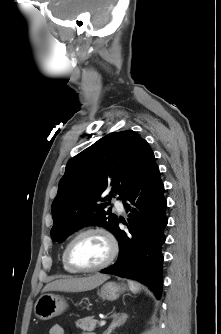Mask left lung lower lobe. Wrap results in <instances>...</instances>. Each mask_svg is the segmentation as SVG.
<instances>
[{"label":"left lung lower lobe","mask_w":221,"mask_h":334,"mask_svg":"<svg viewBox=\"0 0 221 334\" xmlns=\"http://www.w3.org/2000/svg\"><path fill=\"white\" fill-rule=\"evenodd\" d=\"M163 191L164 185L154 158L123 197L129 211V233L121 230L117 221L112 233L119 241V258L114 265L101 271L138 280L147 285L157 298L163 283L161 246L165 242L164 228L167 225V202Z\"/></svg>","instance_id":"left-lung-lower-lobe-1"}]
</instances>
